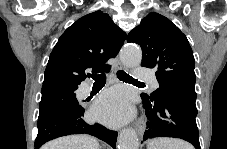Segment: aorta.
Instances as JSON below:
<instances>
[{
    "label": "aorta",
    "instance_id": "aorta-1",
    "mask_svg": "<svg viewBox=\"0 0 227 149\" xmlns=\"http://www.w3.org/2000/svg\"><path fill=\"white\" fill-rule=\"evenodd\" d=\"M121 61L127 66H137L142 61V52L134 45L125 46L120 53ZM138 136L134 129L125 128L118 139V149H138Z\"/></svg>",
    "mask_w": 227,
    "mask_h": 149
}]
</instances>
